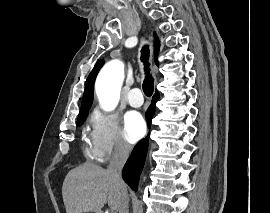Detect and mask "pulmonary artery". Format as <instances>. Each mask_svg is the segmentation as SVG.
I'll use <instances>...</instances> for the list:
<instances>
[{"label":"pulmonary artery","instance_id":"obj_1","mask_svg":"<svg viewBox=\"0 0 270 213\" xmlns=\"http://www.w3.org/2000/svg\"><path fill=\"white\" fill-rule=\"evenodd\" d=\"M128 103L133 107H140L143 104V95L139 88L131 89L127 94Z\"/></svg>","mask_w":270,"mask_h":213}]
</instances>
